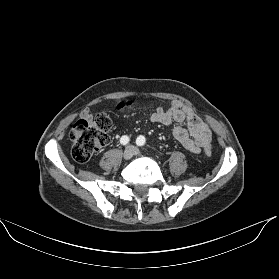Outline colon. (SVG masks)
<instances>
[{"label": "colon", "mask_w": 279, "mask_h": 279, "mask_svg": "<svg viewBox=\"0 0 279 279\" xmlns=\"http://www.w3.org/2000/svg\"><path fill=\"white\" fill-rule=\"evenodd\" d=\"M129 103L118 104V109L127 107ZM111 117L105 113L90 118L82 117L71 128L69 136L72 141V157L78 163L87 162L93 154L108 144L107 132L111 128ZM207 155L211 154L212 147L204 149Z\"/></svg>", "instance_id": "colon-1"}]
</instances>
